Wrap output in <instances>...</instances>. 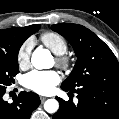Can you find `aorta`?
<instances>
[{
	"label": "aorta",
	"instance_id": "762f6f07",
	"mask_svg": "<svg viewBox=\"0 0 119 119\" xmlns=\"http://www.w3.org/2000/svg\"><path fill=\"white\" fill-rule=\"evenodd\" d=\"M31 62L36 69H47L52 66L53 59L49 50L37 48L32 54ZM58 108L59 103L56 99H48L44 103V109L48 113H55L58 110Z\"/></svg>",
	"mask_w": 119,
	"mask_h": 119
}]
</instances>
